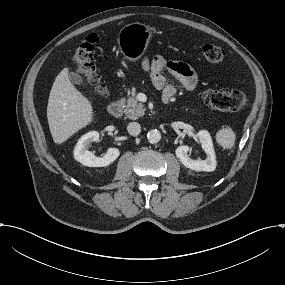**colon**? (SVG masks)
<instances>
[{
    "mask_svg": "<svg viewBox=\"0 0 285 285\" xmlns=\"http://www.w3.org/2000/svg\"><path fill=\"white\" fill-rule=\"evenodd\" d=\"M98 39L90 35L75 51L72 60L76 72L81 76L85 88L92 96H105L106 87L101 83L96 72L93 52ZM203 55L211 65L221 64L226 53L219 46L208 44L203 47ZM201 98L210 108L223 112H238L247 104V97L242 91L234 89L207 88L201 92Z\"/></svg>",
    "mask_w": 285,
    "mask_h": 285,
    "instance_id": "5ec220e1",
    "label": "colon"
}]
</instances>
